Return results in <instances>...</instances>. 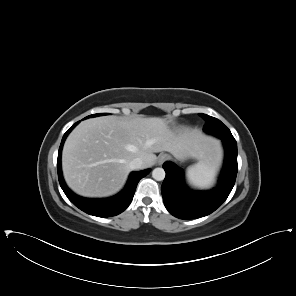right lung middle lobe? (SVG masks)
Instances as JSON below:
<instances>
[{
	"label": "right lung middle lobe",
	"mask_w": 296,
	"mask_h": 296,
	"mask_svg": "<svg viewBox=\"0 0 296 296\" xmlns=\"http://www.w3.org/2000/svg\"><path fill=\"white\" fill-rule=\"evenodd\" d=\"M101 115H107V113H98V114L90 115V116H88L86 118L95 117V116H101Z\"/></svg>",
	"instance_id": "1"
}]
</instances>
